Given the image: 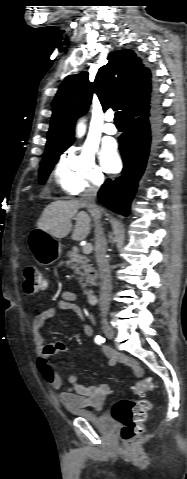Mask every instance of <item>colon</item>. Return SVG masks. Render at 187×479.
Here are the masks:
<instances>
[{
	"label": "colon",
	"mask_w": 187,
	"mask_h": 479,
	"mask_svg": "<svg viewBox=\"0 0 187 479\" xmlns=\"http://www.w3.org/2000/svg\"><path fill=\"white\" fill-rule=\"evenodd\" d=\"M24 290L27 294H35L45 288L46 280L43 272L34 266L24 269ZM155 382L151 378H144L135 387L138 394L144 395L153 391ZM151 408L146 400H132L122 398L115 402L111 414L121 425V437L129 444L134 443L142 433L143 423L147 412Z\"/></svg>",
	"instance_id": "colon-1"
}]
</instances>
